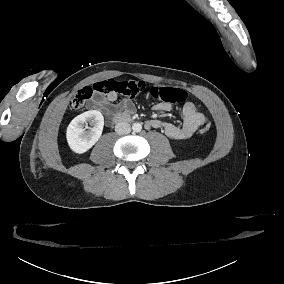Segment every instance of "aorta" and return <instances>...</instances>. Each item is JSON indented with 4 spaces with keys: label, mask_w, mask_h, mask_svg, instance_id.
I'll use <instances>...</instances> for the list:
<instances>
[{
    "label": "aorta",
    "mask_w": 284,
    "mask_h": 284,
    "mask_svg": "<svg viewBox=\"0 0 284 284\" xmlns=\"http://www.w3.org/2000/svg\"><path fill=\"white\" fill-rule=\"evenodd\" d=\"M132 129L134 132H140L142 130V125L136 122L132 125Z\"/></svg>",
    "instance_id": "1"
}]
</instances>
